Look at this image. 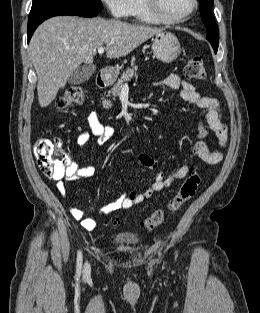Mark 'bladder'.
I'll return each mask as SVG.
<instances>
[{
    "instance_id": "1",
    "label": "bladder",
    "mask_w": 260,
    "mask_h": 313,
    "mask_svg": "<svg viewBox=\"0 0 260 313\" xmlns=\"http://www.w3.org/2000/svg\"><path fill=\"white\" fill-rule=\"evenodd\" d=\"M114 242L120 246L135 245L140 242V237L137 234H122L114 238Z\"/></svg>"
}]
</instances>
